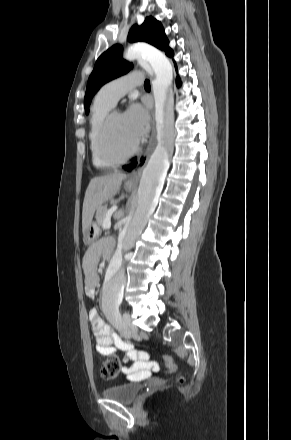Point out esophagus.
I'll use <instances>...</instances> for the list:
<instances>
[{
	"label": "esophagus",
	"instance_id": "34e87169",
	"mask_svg": "<svg viewBox=\"0 0 291 440\" xmlns=\"http://www.w3.org/2000/svg\"><path fill=\"white\" fill-rule=\"evenodd\" d=\"M155 136H156V129H155V122L153 120L152 122V132H151V136L149 138L148 141V145L145 149V151L140 154L139 159H138V164L136 166V168L133 170V172L129 175L128 177V182L133 184V185H137L141 172L143 170V168L145 167V165L148 162L150 153L154 147L155 144Z\"/></svg>",
	"mask_w": 291,
	"mask_h": 440
}]
</instances>
